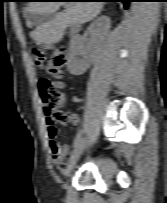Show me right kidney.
<instances>
[{"label": "right kidney", "mask_w": 167, "mask_h": 203, "mask_svg": "<svg viewBox=\"0 0 167 203\" xmlns=\"http://www.w3.org/2000/svg\"><path fill=\"white\" fill-rule=\"evenodd\" d=\"M110 18L101 16L91 24V31L104 37L110 29ZM84 37L76 36L70 45L67 68L73 75H82L90 67L95 55L96 46L91 49L84 48Z\"/></svg>", "instance_id": "1"}]
</instances>
